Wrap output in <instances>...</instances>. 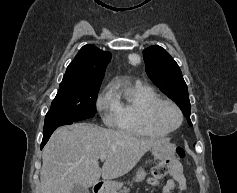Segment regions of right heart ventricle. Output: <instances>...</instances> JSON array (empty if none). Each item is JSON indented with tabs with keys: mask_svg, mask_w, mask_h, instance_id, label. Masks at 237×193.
I'll return each mask as SVG.
<instances>
[{
	"mask_svg": "<svg viewBox=\"0 0 237 193\" xmlns=\"http://www.w3.org/2000/svg\"><path fill=\"white\" fill-rule=\"evenodd\" d=\"M158 99L157 93L140 81L123 84L114 94L116 112L112 125L124 133L135 136L166 135V132L155 128L147 120L149 106Z\"/></svg>",
	"mask_w": 237,
	"mask_h": 193,
	"instance_id": "obj_1",
	"label": "right heart ventricle"
}]
</instances>
